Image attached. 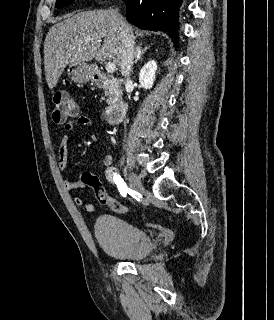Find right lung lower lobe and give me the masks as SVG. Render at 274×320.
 <instances>
[{
	"label": "right lung lower lobe",
	"mask_w": 274,
	"mask_h": 320,
	"mask_svg": "<svg viewBox=\"0 0 274 320\" xmlns=\"http://www.w3.org/2000/svg\"><path fill=\"white\" fill-rule=\"evenodd\" d=\"M126 17L135 26L146 30H162L178 39V11L182 0H123Z\"/></svg>",
	"instance_id": "obj_1"
}]
</instances>
